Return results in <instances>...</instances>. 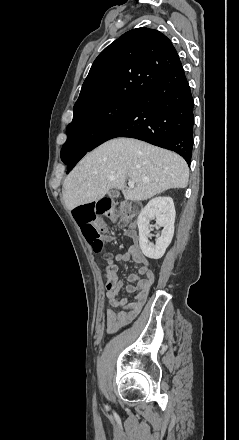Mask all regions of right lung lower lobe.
I'll use <instances>...</instances> for the list:
<instances>
[{
  "mask_svg": "<svg viewBox=\"0 0 239 440\" xmlns=\"http://www.w3.org/2000/svg\"><path fill=\"white\" fill-rule=\"evenodd\" d=\"M193 98L181 62L144 94L134 100L125 114L102 132L85 151H61L69 172L88 152L116 137H130L172 150L188 165L193 148Z\"/></svg>",
  "mask_w": 239,
  "mask_h": 440,
  "instance_id": "right-lung-lower-lobe-1",
  "label": "right lung lower lobe"
}]
</instances>
